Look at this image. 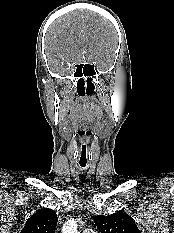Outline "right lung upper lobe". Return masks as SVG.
Listing matches in <instances>:
<instances>
[{
    "label": "right lung upper lobe",
    "mask_w": 174,
    "mask_h": 233,
    "mask_svg": "<svg viewBox=\"0 0 174 233\" xmlns=\"http://www.w3.org/2000/svg\"><path fill=\"white\" fill-rule=\"evenodd\" d=\"M57 221L56 213L44 208L30 216L20 233H55Z\"/></svg>",
    "instance_id": "cb5924a9"
}]
</instances>
